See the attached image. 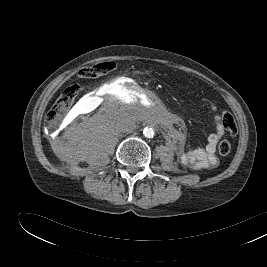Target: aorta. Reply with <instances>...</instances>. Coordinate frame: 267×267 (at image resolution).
I'll use <instances>...</instances> for the list:
<instances>
[{
    "label": "aorta",
    "mask_w": 267,
    "mask_h": 267,
    "mask_svg": "<svg viewBox=\"0 0 267 267\" xmlns=\"http://www.w3.org/2000/svg\"><path fill=\"white\" fill-rule=\"evenodd\" d=\"M143 134L146 138H153L154 136V130L152 128H148L146 127L144 130H143Z\"/></svg>",
    "instance_id": "1"
}]
</instances>
